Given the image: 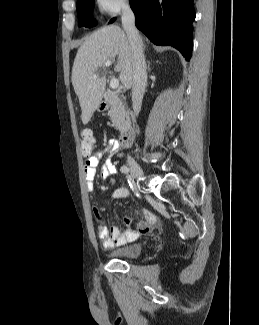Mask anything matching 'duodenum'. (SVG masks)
<instances>
[{
	"label": "duodenum",
	"mask_w": 259,
	"mask_h": 325,
	"mask_svg": "<svg viewBox=\"0 0 259 325\" xmlns=\"http://www.w3.org/2000/svg\"><path fill=\"white\" fill-rule=\"evenodd\" d=\"M107 108H108V101L105 99L101 103V109L106 110ZM133 137H134L133 128H127L126 130L123 131V133L120 136L119 145L121 147L128 146L131 143Z\"/></svg>",
	"instance_id": "410a0bca"
}]
</instances>
